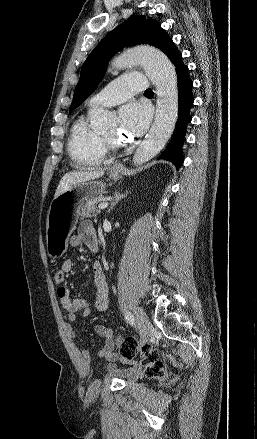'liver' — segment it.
I'll return each instance as SVG.
<instances>
[{
    "mask_svg": "<svg viewBox=\"0 0 257 439\" xmlns=\"http://www.w3.org/2000/svg\"><path fill=\"white\" fill-rule=\"evenodd\" d=\"M103 175H104V169L88 170V171H72L66 173L59 182V185L55 192V198L75 184L97 179L102 177Z\"/></svg>",
    "mask_w": 257,
    "mask_h": 439,
    "instance_id": "obj_1",
    "label": "liver"
}]
</instances>
